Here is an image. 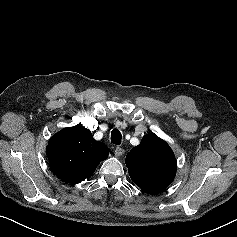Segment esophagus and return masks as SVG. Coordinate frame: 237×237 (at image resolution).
<instances>
[{"label": "esophagus", "instance_id": "obj_1", "mask_svg": "<svg viewBox=\"0 0 237 237\" xmlns=\"http://www.w3.org/2000/svg\"><path fill=\"white\" fill-rule=\"evenodd\" d=\"M114 153L117 157H120L125 153V150L121 147H116Z\"/></svg>", "mask_w": 237, "mask_h": 237}]
</instances>
